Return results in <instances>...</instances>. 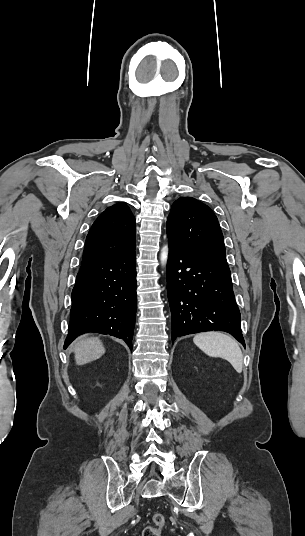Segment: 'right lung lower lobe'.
<instances>
[{
  "label": "right lung lower lobe",
  "instance_id": "obj_1",
  "mask_svg": "<svg viewBox=\"0 0 305 536\" xmlns=\"http://www.w3.org/2000/svg\"><path fill=\"white\" fill-rule=\"evenodd\" d=\"M71 298L65 349L86 332L115 336L132 349L137 307L135 249L81 264Z\"/></svg>",
  "mask_w": 305,
  "mask_h": 536
}]
</instances>
